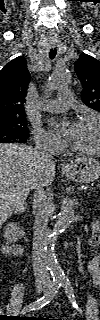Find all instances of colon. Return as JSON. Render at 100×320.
Returning <instances> with one entry per match:
<instances>
[{
	"instance_id": "obj_1",
	"label": "colon",
	"mask_w": 100,
	"mask_h": 320,
	"mask_svg": "<svg viewBox=\"0 0 100 320\" xmlns=\"http://www.w3.org/2000/svg\"><path fill=\"white\" fill-rule=\"evenodd\" d=\"M90 243L92 246H98L100 244V238L97 234H94L92 237H91V240H90Z\"/></svg>"
}]
</instances>
